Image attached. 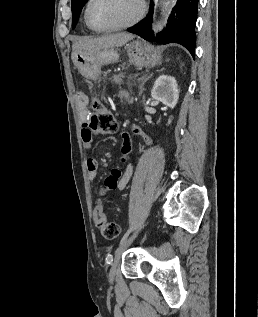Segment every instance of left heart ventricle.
I'll return each mask as SVG.
<instances>
[{
    "instance_id": "1",
    "label": "left heart ventricle",
    "mask_w": 258,
    "mask_h": 317,
    "mask_svg": "<svg viewBox=\"0 0 258 317\" xmlns=\"http://www.w3.org/2000/svg\"><path fill=\"white\" fill-rule=\"evenodd\" d=\"M138 13L134 0H95L89 10L91 22L98 28L124 25Z\"/></svg>"
}]
</instances>
